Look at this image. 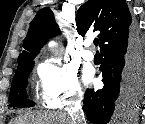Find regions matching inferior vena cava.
I'll return each mask as SVG.
<instances>
[{
  "instance_id": "1",
  "label": "inferior vena cava",
  "mask_w": 145,
  "mask_h": 124,
  "mask_svg": "<svg viewBox=\"0 0 145 124\" xmlns=\"http://www.w3.org/2000/svg\"><path fill=\"white\" fill-rule=\"evenodd\" d=\"M78 105L79 107L70 113L73 124H83L85 121L84 113L81 109L80 103Z\"/></svg>"
}]
</instances>
